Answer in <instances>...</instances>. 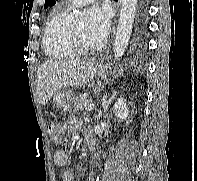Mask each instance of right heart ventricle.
<instances>
[{
  "label": "right heart ventricle",
  "instance_id": "1",
  "mask_svg": "<svg viewBox=\"0 0 197 181\" xmlns=\"http://www.w3.org/2000/svg\"><path fill=\"white\" fill-rule=\"evenodd\" d=\"M67 9L53 12L45 25L43 45L46 54L53 59H70L78 56L70 39L71 23Z\"/></svg>",
  "mask_w": 197,
  "mask_h": 181
}]
</instances>
